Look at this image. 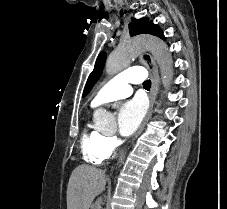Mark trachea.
I'll use <instances>...</instances> for the list:
<instances>
[{
	"label": "trachea",
	"mask_w": 227,
	"mask_h": 209,
	"mask_svg": "<svg viewBox=\"0 0 227 209\" xmlns=\"http://www.w3.org/2000/svg\"><path fill=\"white\" fill-rule=\"evenodd\" d=\"M143 87L148 90L151 87V80H145Z\"/></svg>",
	"instance_id": "3493384b"
}]
</instances>
